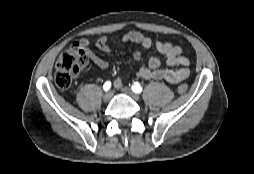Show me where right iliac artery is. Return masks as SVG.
<instances>
[{
    "mask_svg": "<svg viewBox=\"0 0 254 174\" xmlns=\"http://www.w3.org/2000/svg\"><path fill=\"white\" fill-rule=\"evenodd\" d=\"M110 87H111V82L110 81L105 82L104 85H103V89L105 91H108L110 89Z\"/></svg>",
    "mask_w": 254,
    "mask_h": 174,
    "instance_id": "1",
    "label": "right iliac artery"
}]
</instances>
